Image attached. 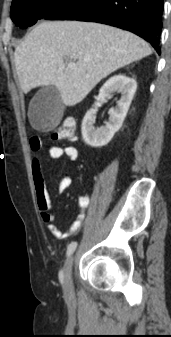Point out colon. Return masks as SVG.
Wrapping results in <instances>:
<instances>
[{
  "label": "colon",
  "instance_id": "colon-1",
  "mask_svg": "<svg viewBox=\"0 0 171 337\" xmlns=\"http://www.w3.org/2000/svg\"><path fill=\"white\" fill-rule=\"evenodd\" d=\"M50 137L58 141H72L76 138V122L73 118H66L61 125L51 130Z\"/></svg>",
  "mask_w": 171,
  "mask_h": 337
}]
</instances>
